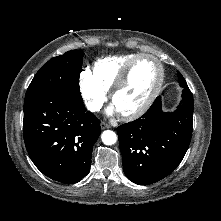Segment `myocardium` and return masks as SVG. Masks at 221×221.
Returning <instances> with one entry per match:
<instances>
[{"label":"myocardium","instance_id":"1","mask_svg":"<svg viewBox=\"0 0 221 221\" xmlns=\"http://www.w3.org/2000/svg\"><path fill=\"white\" fill-rule=\"evenodd\" d=\"M144 58H149V59H152L153 61H155V63L158 66V69H159V78H158L155 88L153 89V91L151 92L149 97L146 99V101L139 108H137L136 110L131 111V112H119V115L125 120H134V119H137V118L141 117L142 115H144L149 110L151 105L154 103L156 98L158 97V95L162 89L163 83H164L165 70H164V67H163V64L161 63V61L156 56H154L152 54H147V53L138 54L136 57L131 59L125 65V67L120 72L118 78L116 79L113 87L110 90L111 102L112 103L114 102L116 95L125 86L134 65L139 60L144 59Z\"/></svg>","mask_w":221,"mask_h":221}]
</instances>
